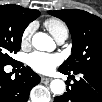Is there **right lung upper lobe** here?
<instances>
[{
    "label": "right lung upper lobe",
    "instance_id": "cb5924a9",
    "mask_svg": "<svg viewBox=\"0 0 102 102\" xmlns=\"http://www.w3.org/2000/svg\"><path fill=\"white\" fill-rule=\"evenodd\" d=\"M6 6L19 11L23 15L30 18V20H32V21L40 15V12L38 10L26 9V8H22L18 5H6Z\"/></svg>",
    "mask_w": 102,
    "mask_h": 102
}]
</instances>
